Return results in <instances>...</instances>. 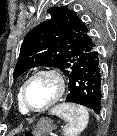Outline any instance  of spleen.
Instances as JSON below:
<instances>
[{
  "label": "spleen",
  "instance_id": "1",
  "mask_svg": "<svg viewBox=\"0 0 117 136\" xmlns=\"http://www.w3.org/2000/svg\"><path fill=\"white\" fill-rule=\"evenodd\" d=\"M50 113L67 122L65 136H78L87 126L89 113L82 105L62 103L51 109Z\"/></svg>",
  "mask_w": 117,
  "mask_h": 136
}]
</instances>
